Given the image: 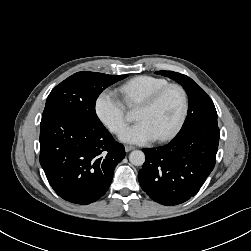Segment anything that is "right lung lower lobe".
<instances>
[{"mask_svg":"<svg viewBox=\"0 0 251 251\" xmlns=\"http://www.w3.org/2000/svg\"><path fill=\"white\" fill-rule=\"evenodd\" d=\"M124 157V146L102 123L65 113L41 120L40 164L66 201L86 205L98 200Z\"/></svg>","mask_w":251,"mask_h":251,"instance_id":"1","label":"right lung lower lobe"}]
</instances>
